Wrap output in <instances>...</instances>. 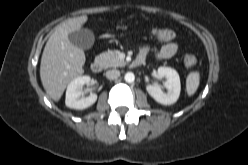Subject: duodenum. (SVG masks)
<instances>
[{
	"mask_svg": "<svg viewBox=\"0 0 248 165\" xmlns=\"http://www.w3.org/2000/svg\"><path fill=\"white\" fill-rule=\"evenodd\" d=\"M144 62L142 57H137V59L132 63L133 67L141 66ZM103 60L102 59H95L91 64V70L93 73H100L103 70Z\"/></svg>",
	"mask_w": 248,
	"mask_h": 165,
	"instance_id": "1",
	"label": "duodenum"
}]
</instances>
